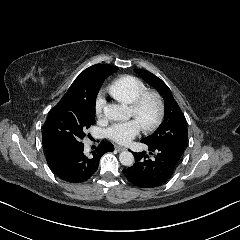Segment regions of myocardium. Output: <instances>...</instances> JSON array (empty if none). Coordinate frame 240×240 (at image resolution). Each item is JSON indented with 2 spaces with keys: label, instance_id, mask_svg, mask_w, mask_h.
I'll use <instances>...</instances> for the list:
<instances>
[{
  "label": "myocardium",
  "instance_id": "1",
  "mask_svg": "<svg viewBox=\"0 0 240 240\" xmlns=\"http://www.w3.org/2000/svg\"><path fill=\"white\" fill-rule=\"evenodd\" d=\"M147 99H152L157 106V115L155 120L150 125L141 127L143 132L150 133L157 130L164 120L165 105L160 94L155 91L145 90L135 98L129 109L132 112L133 117L135 118L140 108Z\"/></svg>",
  "mask_w": 240,
  "mask_h": 240
}]
</instances>
